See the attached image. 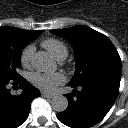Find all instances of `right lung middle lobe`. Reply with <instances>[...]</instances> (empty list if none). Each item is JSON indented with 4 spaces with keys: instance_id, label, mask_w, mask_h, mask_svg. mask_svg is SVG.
<instances>
[{
    "instance_id": "1",
    "label": "right lung middle lobe",
    "mask_w": 128,
    "mask_h": 128,
    "mask_svg": "<svg viewBox=\"0 0 128 128\" xmlns=\"http://www.w3.org/2000/svg\"><path fill=\"white\" fill-rule=\"evenodd\" d=\"M34 38L17 35H0V81H14L21 78L16 69L20 65L22 49Z\"/></svg>"
}]
</instances>
